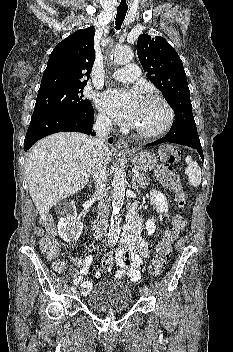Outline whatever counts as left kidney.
Instances as JSON below:
<instances>
[{
  "mask_svg": "<svg viewBox=\"0 0 233 352\" xmlns=\"http://www.w3.org/2000/svg\"><path fill=\"white\" fill-rule=\"evenodd\" d=\"M155 221L153 218L152 219H148L145 223L146 225V230L148 232V235H153V233L155 232L156 226H155Z\"/></svg>",
  "mask_w": 233,
  "mask_h": 352,
  "instance_id": "5707ae66",
  "label": "left kidney"
}]
</instances>
